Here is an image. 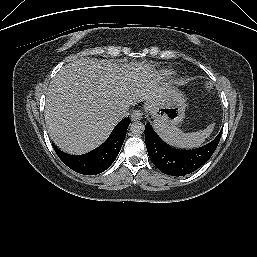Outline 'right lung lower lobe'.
Segmentation results:
<instances>
[{"label": "right lung lower lobe", "mask_w": 257, "mask_h": 257, "mask_svg": "<svg viewBox=\"0 0 257 257\" xmlns=\"http://www.w3.org/2000/svg\"><path fill=\"white\" fill-rule=\"evenodd\" d=\"M129 124V117L121 120L101 146L83 155H69L60 151L54 145L53 147L58 157L70 169L84 175H96L105 171L116 159Z\"/></svg>", "instance_id": "98d812e1"}]
</instances>
